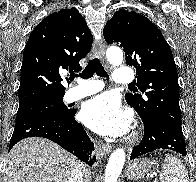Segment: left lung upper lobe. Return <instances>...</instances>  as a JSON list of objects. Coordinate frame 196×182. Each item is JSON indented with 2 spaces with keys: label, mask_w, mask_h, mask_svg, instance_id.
<instances>
[{
  "label": "left lung upper lobe",
  "mask_w": 196,
  "mask_h": 182,
  "mask_svg": "<svg viewBox=\"0 0 196 182\" xmlns=\"http://www.w3.org/2000/svg\"><path fill=\"white\" fill-rule=\"evenodd\" d=\"M107 43H119L126 63L136 67L137 86L146 93L126 94L127 103L142 119L162 117L181 127L179 84L171 49L159 29L135 11L119 10L106 23Z\"/></svg>",
  "instance_id": "obj_1"
}]
</instances>
